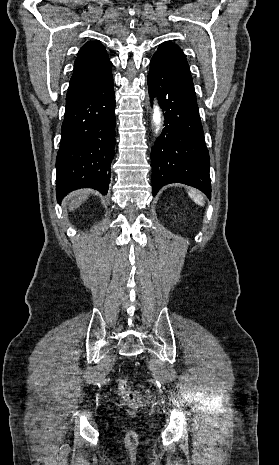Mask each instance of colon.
Segmentation results:
<instances>
[{
  "label": "colon",
  "mask_w": 279,
  "mask_h": 465,
  "mask_svg": "<svg viewBox=\"0 0 279 465\" xmlns=\"http://www.w3.org/2000/svg\"><path fill=\"white\" fill-rule=\"evenodd\" d=\"M119 391L123 397V399L130 403V404H134L136 402V395L133 391H131L127 385H126V381L125 379H121L119 381Z\"/></svg>",
  "instance_id": "5ec220e1"
}]
</instances>
